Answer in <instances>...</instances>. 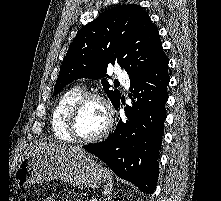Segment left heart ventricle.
I'll return each instance as SVG.
<instances>
[{"instance_id":"obj_1","label":"left heart ventricle","mask_w":221,"mask_h":201,"mask_svg":"<svg viewBox=\"0 0 221 201\" xmlns=\"http://www.w3.org/2000/svg\"><path fill=\"white\" fill-rule=\"evenodd\" d=\"M105 125L106 112L104 106L97 100H90L82 107L75 128L80 137L89 138L99 134Z\"/></svg>"}]
</instances>
